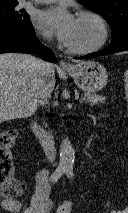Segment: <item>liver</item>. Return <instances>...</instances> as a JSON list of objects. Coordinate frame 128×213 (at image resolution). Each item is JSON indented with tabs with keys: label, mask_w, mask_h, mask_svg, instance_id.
Listing matches in <instances>:
<instances>
[{
	"label": "liver",
	"mask_w": 128,
	"mask_h": 213,
	"mask_svg": "<svg viewBox=\"0 0 128 213\" xmlns=\"http://www.w3.org/2000/svg\"><path fill=\"white\" fill-rule=\"evenodd\" d=\"M38 80L37 59L26 54H0V123L27 118L36 112ZM47 83L53 90L55 86L53 65Z\"/></svg>",
	"instance_id": "6515ba94"
}]
</instances>
